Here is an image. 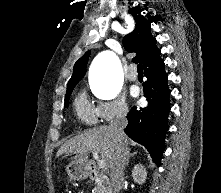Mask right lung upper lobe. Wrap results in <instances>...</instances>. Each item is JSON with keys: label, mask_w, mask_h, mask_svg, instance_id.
Listing matches in <instances>:
<instances>
[{"label": "right lung upper lobe", "mask_w": 221, "mask_h": 193, "mask_svg": "<svg viewBox=\"0 0 221 193\" xmlns=\"http://www.w3.org/2000/svg\"><path fill=\"white\" fill-rule=\"evenodd\" d=\"M136 27L133 32L123 38V45L128 52H135L138 60L143 64L144 71L149 70L162 62L160 50L156 46V39L151 35L150 22L141 16H135ZM90 51L86 52L74 65L73 75L68 86L76 85L85 75Z\"/></svg>", "instance_id": "right-lung-upper-lobe-1"}]
</instances>
